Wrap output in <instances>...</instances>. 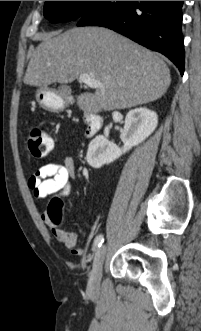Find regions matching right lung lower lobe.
Here are the masks:
<instances>
[{"label": "right lung lower lobe", "mask_w": 201, "mask_h": 331, "mask_svg": "<svg viewBox=\"0 0 201 331\" xmlns=\"http://www.w3.org/2000/svg\"><path fill=\"white\" fill-rule=\"evenodd\" d=\"M183 1H103L77 26L108 27L167 56L184 73Z\"/></svg>", "instance_id": "98d812e1"}]
</instances>
